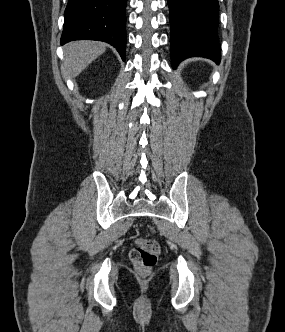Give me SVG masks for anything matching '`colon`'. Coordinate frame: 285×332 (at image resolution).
<instances>
[{
    "instance_id": "5ec220e1",
    "label": "colon",
    "mask_w": 285,
    "mask_h": 332,
    "mask_svg": "<svg viewBox=\"0 0 285 332\" xmlns=\"http://www.w3.org/2000/svg\"><path fill=\"white\" fill-rule=\"evenodd\" d=\"M159 253L160 245L157 241L141 238L130 251V260L138 273L146 275L156 264Z\"/></svg>"
}]
</instances>
